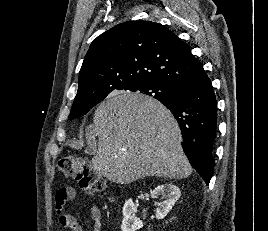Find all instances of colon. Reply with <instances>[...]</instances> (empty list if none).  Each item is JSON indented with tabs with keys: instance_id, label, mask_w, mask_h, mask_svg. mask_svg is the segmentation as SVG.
Instances as JSON below:
<instances>
[{
	"instance_id": "colon-1",
	"label": "colon",
	"mask_w": 268,
	"mask_h": 231,
	"mask_svg": "<svg viewBox=\"0 0 268 231\" xmlns=\"http://www.w3.org/2000/svg\"><path fill=\"white\" fill-rule=\"evenodd\" d=\"M57 170L65 176L74 177L89 194L101 192L105 184L89 161L76 155H66L57 163ZM69 192L63 191L65 197Z\"/></svg>"
}]
</instances>
